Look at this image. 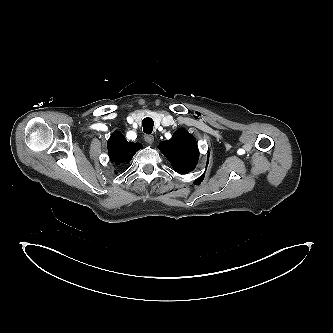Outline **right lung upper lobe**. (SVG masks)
Masks as SVG:
<instances>
[{
	"label": "right lung upper lobe",
	"mask_w": 333,
	"mask_h": 333,
	"mask_svg": "<svg viewBox=\"0 0 333 333\" xmlns=\"http://www.w3.org/2000/svg\"><path fill=\"white\" fill-rule=\"evenodd\" d=\"M139 149H142L140 143L128 142L119 131H115L108 140L110 160L117 166L129 163Z\"/></svg>",
	"instance_id": "1"
}]
</instances>
